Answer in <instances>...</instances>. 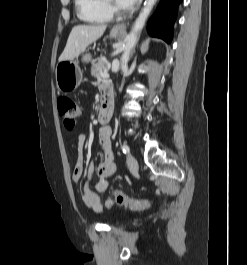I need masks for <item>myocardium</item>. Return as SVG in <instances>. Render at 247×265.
<instances>
[{"label": "myocardium", "instance_id": "1", "mask_svg": "<svg viewBox=\"0 0 247 265\" xmlns=\"http://www.w3.org/2000/svg\"><path fill=\"white\" fill-rule=\"evenodd\" d=\"M107 3L109 4V7L111 9L112 12L118 14V15H122L123 11H121L113 2L112 0H107Z\"/></svg>", "mask_w": 247, "mask_h": 265}]
</instances>
